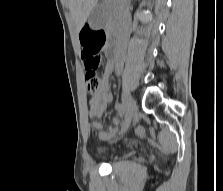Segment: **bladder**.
<instances>
[{"label": "bladder", "mask_w": 223, "mask_h": 191, "mask_svg": "<svg viewBox=\"0 0 223 191\" xmlns=\"http://www.w3.org/2000/svg\"><path fill=\"white\" fill-rule=\"evenodd\" d=\"M104 154V152L103 151H100V155H103Z\"/></svg>", "instance_id": "obj_1"}]
</instances>
